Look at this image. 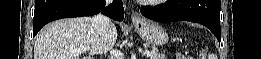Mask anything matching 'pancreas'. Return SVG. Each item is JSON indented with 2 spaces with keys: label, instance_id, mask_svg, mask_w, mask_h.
Instances as JSON below:
<instances>
[{
  "label": "pancreas",
  "instance_id": "cf45deb5",
  "mask_svg": "<svg viewBox=\"0 0 261 59\" xmlns=\"http://www.w3.org/2000/svg\"><path fill=\"white\" fill-rule=\"evenodd\" d=\"M150 59H165V55L163 53L158 52L157 50L153 49L151 51Z\"/></svg>",
  "mask_w": 261,
  "mask_h": 59
}]
</instances>
